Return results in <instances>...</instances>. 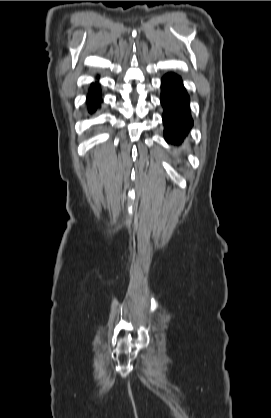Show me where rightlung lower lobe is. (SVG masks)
I'll use <instances>...</instances> for the list:
<instances>
[{
    "label": "right lung lower lobe",
    "mask_w": 271,
    "mask_h": 418,
    "mask_svg": "<svg viewBox=\"0 0 271 418\" xmlns=\"http://www.w3.org/2000/svg\"><path fill=\"white\" fill-rule=\"evenodd\" d=\"M101 102V95L98 86L92 84L87 97L88 111L95 112Z\"/></svg>",
    "instance_id": "98d812e1"
}]
</instances>
